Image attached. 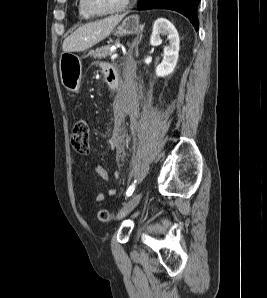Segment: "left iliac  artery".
Returning a JSON list of instances; mask_svg holds the SVG:
<instances>
[{
  "label": "left iliac artery",
  "instance_id": "1",
  "mask_svg": "<svg viewBox=\"0 0 267 298\" xmlns=\"http://www.w3.org/2000/svg\"><path fill=\"white\" fill-rule=\"evenodd\" d=\"M135 186H136V180L132 183V185L129 187V189L126 192V198L130 197L134 190H135Z\"/></svg>",
  "mask_w": 267,
  "mask_h": 298
}]
</instances>
